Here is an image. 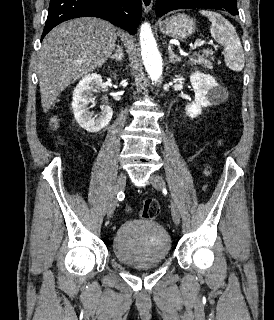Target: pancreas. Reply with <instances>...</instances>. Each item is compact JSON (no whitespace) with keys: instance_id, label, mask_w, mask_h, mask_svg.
I'll list each match as a JSON object with an SVG mask.
<instances>
[{"instance_id":"cf45deb5","label":"pancreas","mask_w":274,"mask_h":320,"mask_svg":"<svg viewBox=\"0 0 274 320\" xmlns=\"http://www.w3.org/2000/svg\"><path fill=\"white\" fill-rule=\"evenodd\" d=\"M209 56H213L212 50H202L200 54H194V56H189L190 64H203L204 68H209L212 70V60L213 58H209Z\"/></svg>"}]
</instances>
